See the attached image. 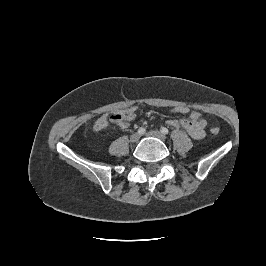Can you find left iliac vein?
<instances>
[{
    "label": "left iliac vein",
    "instance_id": "1",
    "mask_svg": "<svg viewBox=\"0 0 266 266\" xmlns=\"http://www.w3.org/2000/svg\"><path fill=\"white\" fill-rule=\"evenodd\" d=\"M146 136H148V137H155V138H157V139H159L161 141H165L166 140L165 135H163L161 132H159L157 130H152V131L148 132L146 134Z\"/></svg>",
    "mask_w": 266,
    "mask_h": 266
}]
</instances>
